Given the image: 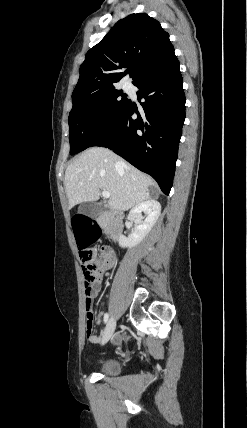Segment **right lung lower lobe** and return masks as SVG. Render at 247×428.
<instances>
[{"label":"right lung lower lobe","instance_id":"right-lung-lower-lobe-1","mask_svg":"<svg viewBox=\"0 0 247 428\" xmlns=\"http://www.w3.org/2000/svg\"><path fill=\"white\" fill-rule=\"evenodd\" d=\"M139 88L140 115L129 100L121 115L91 146L113 150L139 170L151 175L169 195L178 145L185 120V95L179 61L172 57L134 84ZM136 112L139 116L133 119Z\"/></svg>","mask_w":247,"mask_h":428}]
</instances>
